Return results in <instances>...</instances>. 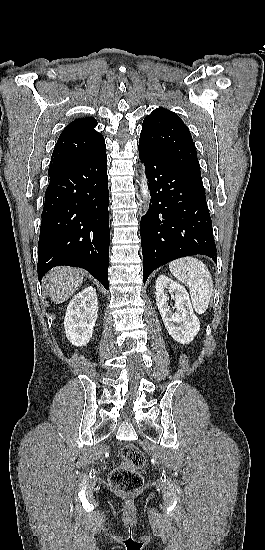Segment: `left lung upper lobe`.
I'll use <instances>...</instances> for the list:
<instances>
[{
    "label": "left lung upper lobe",
    "instance_id": "left-lung-upper-lobe-1",
    "mask_svg": "<svg viewBox=\"0 0 265 550\" xmlns=\"http://www.w3.org/2000/svg\"><path fill=\"white\" fill-rule=\"evenodd\" d=\"M139 145L202 180L190 131L172 111L157 108L144 119Z\"/></svg>",
    "mask_w": 265,
    "mask_h": 550
}]
</instances>
